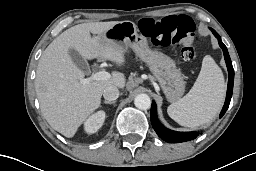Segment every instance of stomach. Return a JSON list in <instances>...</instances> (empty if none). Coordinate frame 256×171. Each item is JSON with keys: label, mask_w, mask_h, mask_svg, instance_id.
<instances>
[{"label": "stomach", "mask_w": 256, "mask_h": 171, "mask_svg": "<svg viewBox=\"0 0 256 171\" xmlns=\"http://www.w3.org/2000/svg\"><path fill=\"white\" fill-rule=\"evenodd\" d=\"M102 38L124 50L130 47L149 66L168 101L176 102L183 96L185 81L181 71L177 69L173 59L149 47L146 37L139 34L134 22H118L106 30Z\"/></svg>", "instance_id": "1"}]
</instances>
